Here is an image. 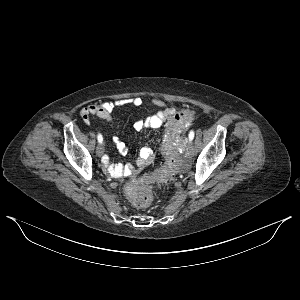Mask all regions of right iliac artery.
<instances>
[{
	"mask_svg": "<svg viewBox=\"0 0 300 300\" xmlns=\"http://www.w3.org/2000/svg\"><path fill=\"white\" fill-rule=\"evenodd\" d=\"M97 139H98V142H99V143H102V142H103V137H102L101 134H98Z\"/></svg>",
	"mask_w": 300,
	"mask_h": 300,
	"instance_id": "82829eb1",
	"label": "right iliac artery"
}]
</instances>
